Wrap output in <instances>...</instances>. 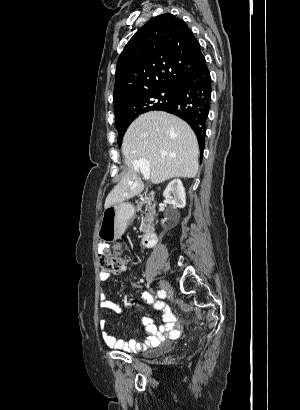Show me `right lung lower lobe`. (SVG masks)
<instances>
[{
  "instance_id": "98d812e1",
  "label": "right lung lower lobe",
  "mask_w": 300,
  "mask_h": 410,
  "mask_svg": "<svg viewBox=\"0 0 300 410\" xmlns=\"http://www.w3.org/2000/svg\"><path fill=\"white\" fill-rule=\"evenodd\" d=\"M210 100L211 79L203 59L180 80L172 102L158 109L179 116L191 126L198 138L201 155Z\"/></svg>"
}]
</instances>
